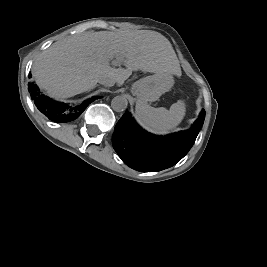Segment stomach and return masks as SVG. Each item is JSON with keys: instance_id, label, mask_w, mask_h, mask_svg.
<instances>
[{"instance_id": "obj_1", "label": "stomach", "mask_w": 267, "mask_h": 267, "mask_svg": "<svg viewBox=\"0 0 267 267\" xmlns=\"http://www.w3.org/2000/svg\"><path fill=\"white\" fill-rule=\"evenodd\" d=\"M173 77L165 73H155L136 81L131 93L143 103L154 102L173 85Z\"/></svg>"}]
</instances>
